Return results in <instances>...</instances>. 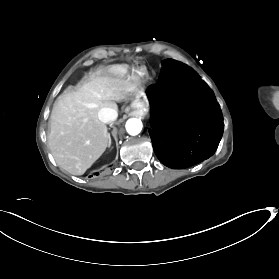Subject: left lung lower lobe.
Returning a JSON list of instances; mask_svg holds the SVG:
<instances>
[{"label":"left lung lower lobe","mask_w":279,"mask_h":279,"mask_svg":"<svg viewBox=\"0 0 279 279\" xmlns=\"http://www.w3.org/2000/svg\"><path fill=\"white\" fill-rule=\"evenodd\" d=\"M152 110L149 134L157 158L184 169L212 156L223 134L214 94L190 68L167 59L156 85L147 90Z\"/></svg>","instance_id":"0a47b994"}]
</instances>
